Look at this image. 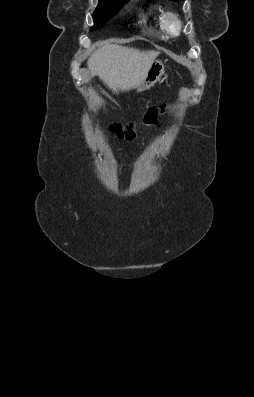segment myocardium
I'll return each mask as SVG.
<instances>
[{"mask_svg": "<svg viewBox=\"0 0 254 397\" xmlns=\"http://www.w3.org/2000/svg\"><path fill=\"white\" fill-rule=\"evenodd\" d=\"M163 26L168 34L176 36L181 32L183 23L178 14L168 11L163 15Z\"/></svg>", "mask_w": 254, "mask_h": 397, "instance_id": "f54148a6", "label": "myocardium"}]
</instances>
